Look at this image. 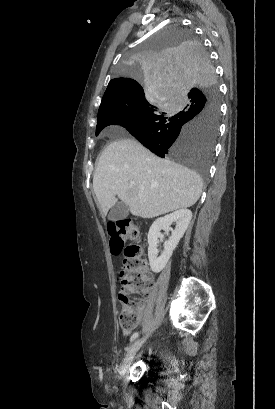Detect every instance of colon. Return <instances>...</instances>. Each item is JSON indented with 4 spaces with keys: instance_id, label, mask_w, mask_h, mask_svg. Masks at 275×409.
I'll return each mask as SVG.
<instances>
[{
    "instance_id": "obj_1",
    "label": "colon",
    "mask_w": 275,
    "mask_h": 409,
    "mask_svg": "<svg viewBox=\"0 0 275 409\" xmlns=\"http://www.w3.org/2000/svg\"><path fill=\"white\" fill-rule=\"evenodd\" d=\"M108 235L111 252L125 250L127 253L121 271L119 300L122 311L117 325H121L123 330H134L142 314L143 293L151 292L154 286L142 258L145 248L139 242L141 231L132 220L116 221L108 226Z\"/></svg>"
}]
</instances>
